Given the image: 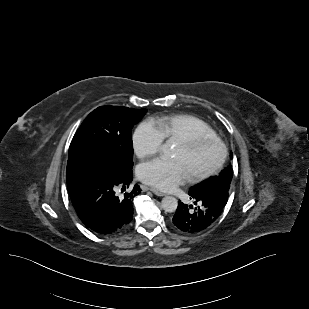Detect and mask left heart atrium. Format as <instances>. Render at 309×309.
<instances>
[{
  "instance_id": "left-heart-atrium-1",
  "label": "left heart atrium",
  "mask_w": 309,
  "mask_h": 309,
  "mask_svg": "<svg viewBox=\"0 0 309 309\" xmlns=\"http://www.w3.org/2000/svg\"><path fill=\"white\" fill-rule=\"evenodd\" d=\"M136 175L143 183L164 191L174 190L190 178L181 160L166 158H157L140 164Z\"/></svg>"
}]
</instances>
